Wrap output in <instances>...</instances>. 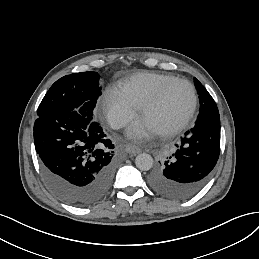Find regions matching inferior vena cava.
I'll use <instances>...</instances> for the list:
<instances>
[{
  "mask_svg": "<svg viewBox=\"0 0 259 259\" xmlns=\"http://www.w3.org/2000/svg\"><path fill=\"white\" fill-rule=\"evenodd\" d=\"M109 123H110V126L112 129L117 130V129L124 127L126 125L127 121L125 118L115 115L111 118Z\"/></svg>",
  "mask_w": 259,
  "mask_h": 259,
  "instance_id": "obj_1",
  "label": "inferior vena cava"
}]
</instances>
